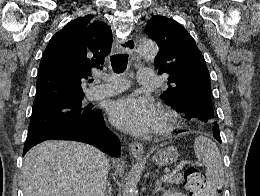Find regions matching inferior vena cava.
<instances>
[{"instance_id":"obj_1","label":"inferior vena cava","mask_w":260,"mask_h":196,"mask_svg":"<svg viewBox=\"0 0 260 196\" xmlns=\"http://www.w3.org/2000/svg\"><path fill=\"white\" fill-rule=\"evenodd\" d=\"M94 196H105V194L102 192V190H96Z\"/></svg>"}]
</instances>
